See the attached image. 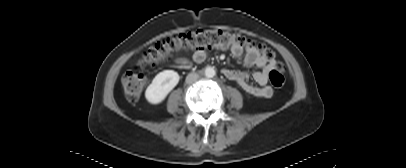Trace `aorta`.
<instances>
[{"instance_id": "1", "label": "aorta", "mask_w": 406, "mask_h": 168, "mask_svg": "<svg viewBox=\"0 0 406 168\" xmlns=\"http://www.w3.org/2000/svg\"><path fill=\"white\" fill-rule=\"evenodd\" d=\"M204 73H205V76H206L207 78H212V77L215 76V70H214L213 67H210V66H208V67L205 68Z\"/></svg>"}]
</instances>
